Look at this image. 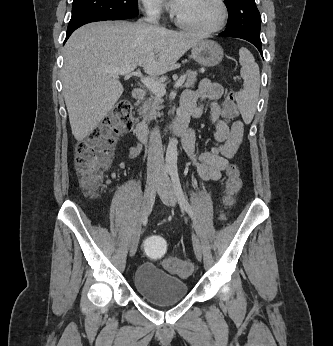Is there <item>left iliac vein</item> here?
<instances>
[{"label":"left iliac vein","mask_w":333,"mask_h":346,"mask_svg":"<svg viewBox=\"0 0 333 346\" xmlns=\"http://www.w3.org/2000/svg\"><path fill=\"white\" fill-rule=\"evenodd\" d=\"M160 185L158 186V193L161 200L168 206L174 207L176 205V194L173 190L172 184L167 176L161 174ZM193 249L199 261L202 260V245L196 235L192 236Z\"/></svg>","instance_id":"left-iliac-vein-1"}]
</instances>
